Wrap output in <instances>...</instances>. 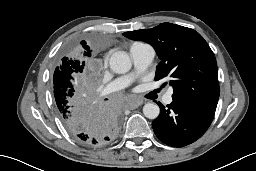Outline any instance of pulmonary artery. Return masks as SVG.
Returning <instances> with one entry per match:
<instances>
[{"mask_svg":"<svg viewBox=\"0 0 256 171\" xmlns=\"http://www.w3.org/2000/svg\"><path fill=\"white\" fill-rule=\"evenodd\" d=\"M130 55L134 65V72L121 76L110 82L104 89V93H112L127 87L142 72H144L152 63L155 57V51L152 46L143 43H135L130 47ZM172 102V90H169L164 97V103Z\"/></svg>","mask_w":256,"mask_h":171,"instance_id":"1","label":"pulmonary artery"}]
</instances>
